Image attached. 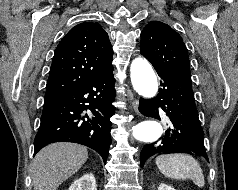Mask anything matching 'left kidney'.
<instances>
[{
	"instance_id": "1",
	"label": "left kidney",
	"mask_w": 238,
	"mask_h": 190,
	"mask_svg": "<svg viewBox=\"0 0 238 190\" xmlns=\"http://www.w3.org/2000/svg\"><path fill=\"white\" fill-rule=\"evenodd\" d=\"M158 190H176L173 187L166 185L164 183H161L158 187Z\"/></svg>"
}]
</instances>
